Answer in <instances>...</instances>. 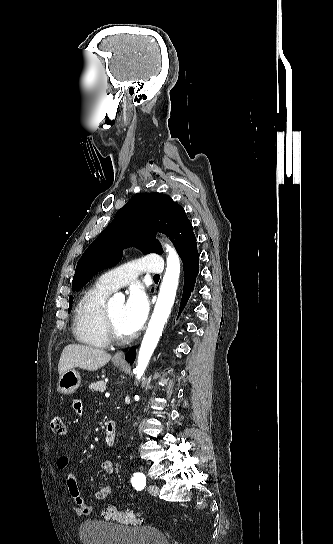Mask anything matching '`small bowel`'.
I'll return each instance as SVG.
<instances>
[{"mask_svg": "<svg viewBox=\"0 0 333 544\" xmlns=\"http://www.w3.org/2000/svg\"><path fill=\"white\" fill-rule=\"evenodd\" d=\"M73 408L78 414H82L83 406L80 401H75L73 404ZM56 464L59 470H66L69 465V460L66 456H60L57 459ZM100 469L104 474H112L115 470V467L111 460H104L100 465ZM66 486H67L70 497L74 501V506L72 508L73 514L76 516H83V515L90 514L92 511V507L88 503H86L85 500L82 498L79 487H78L77 479L71 471L67 472ZM111 492H112L111 486L109 485L102 486L95 491L94 498L96 500H105L106 498L110 496Z\"/></svg>", "mask_w": 333, "mask_h": 544, "instance_id": "c3829d8e", "label": "small bowel"}]
</instances>
